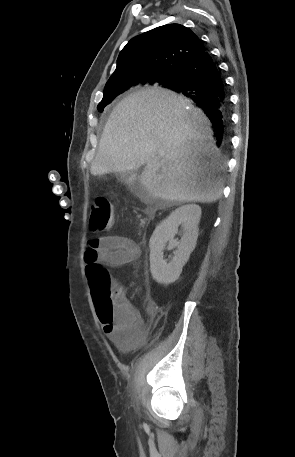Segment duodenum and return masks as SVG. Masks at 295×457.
<instances>
[{"label":"duodenum","instance_id":"obj_1","mask_svg":"<svg viewBox=\"0 0 295 457\" xmlns=\"http://www.w3.org/2000/svg\"><path fill=\"white\" fill-rule=\"evenodd\" d=\"M146 214L149 215L150 214V210H146Z\"/></svg>","mask_w":295,"mask_h":457}]
</instances>
